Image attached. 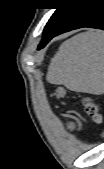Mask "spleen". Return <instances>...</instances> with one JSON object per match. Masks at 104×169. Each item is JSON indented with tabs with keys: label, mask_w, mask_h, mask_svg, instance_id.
<instances>
[{
	"label": "spleen",
	"mask_w": 104,
	"mask_h": 169,
	"mask_svg": "<svg viewBox=\"0 0 104 169\" xmlns=\"http://www.w3.org/2000/svg\"><path fill=\"white\" fill-rule=\"evenodd\" d=\"M51 84L71 91L104 93V35L101 31L80 33L59 47L46 76Z\"/></svg>",
	"instance_id": "3e777b00"
}]
</instances>
